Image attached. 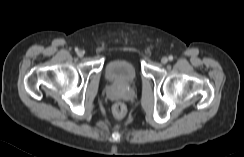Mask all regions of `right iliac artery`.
<instances>
[{
	"label": "right iliac artery",
	"instance_id": "82829eb1",
	"mask_svg": "<svg viewBox=\"0 0 244 157\" xmlns=\"http://www.w3.org/2000/svg\"><path fill=\"white\" fill-rule=\"evenodd\" d=\"M75 51L78 53L79 52V49L78 48H75Z\"/></svg>",
	"mask_w": 244,
	"mask_h": 157
}]
</instances>
